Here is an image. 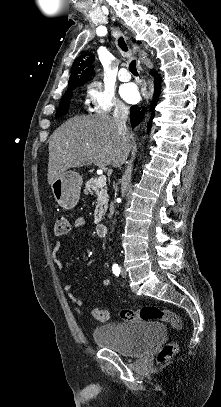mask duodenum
Segmentation results:
<instances>
[{"label": "duodenum", "instance_id": "1", "mask_svg": "<svg viewBox=\"0 0 221 407\" xmlns=\"http://www.w3.org/2000/svg\"><path fill=\"white\" fill-rule=\"evenodd\" d=\"M108 231V225L104 223H99L96 225V232L99 236H105Z\"/></svg>", "mask_w": 221, "mask_h": 407}]
</instances>
